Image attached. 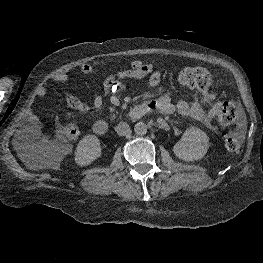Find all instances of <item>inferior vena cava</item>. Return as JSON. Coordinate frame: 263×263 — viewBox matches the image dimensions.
Masks as SVG:
<instances>
[{
    "label": "inferior vena cava",
    "mask_w": 263,
    "mask_h": 263,
    "mask_svg": "<svg viewBox=\"0 0 263 263\" xmlns=\"http://www.w3.org/2000/svg\"><path fill=\"white\" fill-rule=\"evenodd\" d=\"M116 132L120 136H125L130 133V126L126 122H120L116 128Z\"/></svg>",
    "instance_id": "obj_1"
}]
</instances>
